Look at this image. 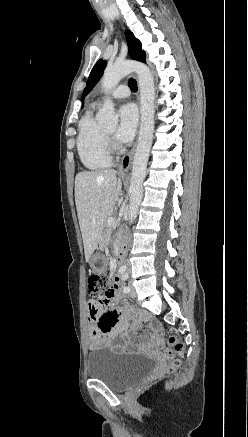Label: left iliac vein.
<instances>
[{"mask_svg": "<svg viewBox=\"0 0 248 437\" xmlns=\"http://www.w3.org/2000/svg\"><path fill=\"white\" fill-rule=\"evenodd\" d=\"M129 288H130L129 296L131 298H135L137 296L136 290H135L134 286L131 283H129Z\"/></svg>", "mask_w": 248, "mask_h": 437, "instance_id": "left-iliac-vein-1", "label": "left iliac vein"}]
</instances>
